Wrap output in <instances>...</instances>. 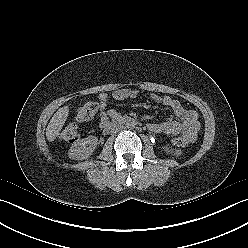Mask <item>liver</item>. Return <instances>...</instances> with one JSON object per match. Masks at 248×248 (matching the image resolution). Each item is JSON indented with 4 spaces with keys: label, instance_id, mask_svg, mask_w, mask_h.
<instances>
[{
    "label": "liver",
    "instance_id": "liver-1",
    "mask_svg": "<svg viewBox=\"0 0 248 248\" xmlns=\"http://www.w3.org/2000/svg\"><path fill=\"white\" fill-rule=\"evenodd\" d=\"M69 115V107L64 106L59 108L56 113L51 118L47 128H46V137L49 142H52L56 139L61 131L62 127L65 124V121Z\"/></svg>",
    "mask_w": 248,
    "mask_h": 248
}]
</instances>
